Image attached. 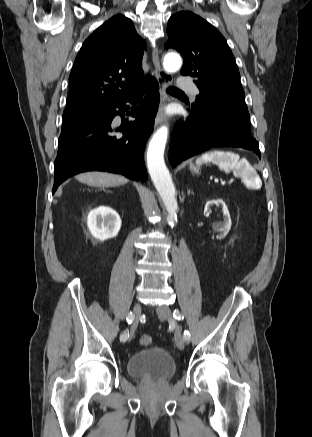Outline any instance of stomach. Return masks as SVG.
<instances>
[{
    "mask_svg": "<svg viewBox=\"0 0 312 437\" xmlns=\"http://www.w3.org/2000/svg\"><path fill=\"white\" fill-rule=\"evenodd\" d=\"M190 169L192 171H198L200 169V164H197V166H194L193 164H190Z\"/></svg>",
    "mask_w": 312,
    "mask_h": 437,
    "instance_id": "1",
    "label": "stomach"
}]
</instances>
